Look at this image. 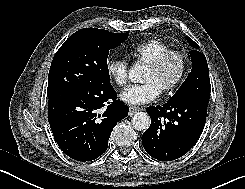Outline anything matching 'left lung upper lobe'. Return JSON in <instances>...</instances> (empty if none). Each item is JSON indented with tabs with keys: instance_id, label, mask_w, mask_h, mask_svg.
I'll return each instance as SVG.
<instances>
[{
	"instance_id": "obj_1",
	"label": "left lung upper lobe",
	"mask_w": 245,
	"mask_h": 189,
	"mask_svg": "<svg viewBox=\"0 0 245 189\" xmlns=\"http://www.w3.org/2000/svg\"><path fill=\"white\" fill-rule=\"evenodd\" d=\"M187 40L193 47V50L190 51L192 69L187 79L170 100L197 98L209 102L211 85L206 57L198 51L199 46L191 38L187 37Z\"/></svg>"
}]
</instances>
